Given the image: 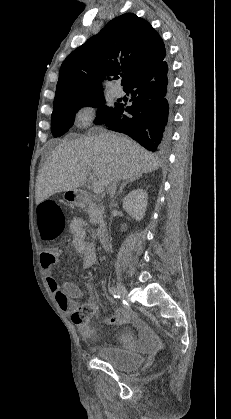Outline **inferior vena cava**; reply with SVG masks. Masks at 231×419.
<instances>
[{
    "instance_id": "602c4592",
    "label": "inferior vena cava",
    "mask_w": 231,
    "mask_h": 419,
    "mask_svg": "<svg viewBox=\"0 0 231 419\" xmlns=\"http://www.w3.org/2000/svg\"><path fill=\"white\" fill-rule=\"evenodd\" d=\"M117 178H114L109 186V195L110 198L113 199L115 194H116V190H117ZM112 205V204H111Z\"/></svg>"
}]
</instances>
